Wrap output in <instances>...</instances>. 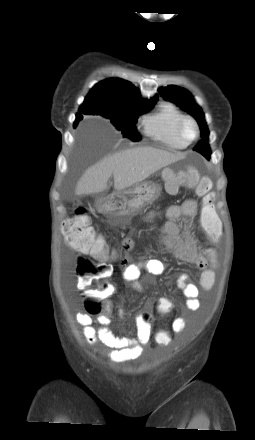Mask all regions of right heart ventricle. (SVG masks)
Here are the masks:
<instances>
[{
	"instance_id": "1",
	"label": "right heart ventricle",
	"mask_w": 255,
	"mask_h": 440,
	"mask_svg": "<svg viewBox=\"0 0 255 440\" xmlns=\"http://www.w3.org/2000/svg\"><path fill=\"white\" fill-rule=\"evenodd\" d=\"M185 115L172 103H163L144 118V132L152 140L170 149H184L188 144L177 135L178 122Z\"/></svg>"
}]
</instances>
